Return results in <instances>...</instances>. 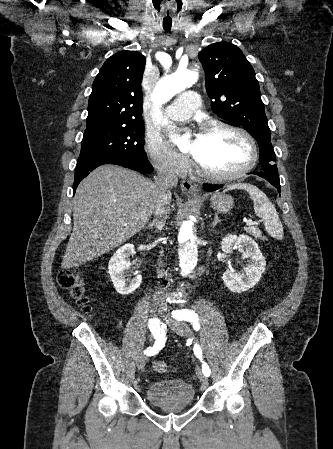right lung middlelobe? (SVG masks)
I'll return each mask as SVG.
<instances>
[{
	"instance_id": "obj_1",
	"label": "right lung middle lobe",
	"mask_w": 333,
	"mask_h": 449,
	"mask_svg": "<svg viewBox=\"0 0 333 449\" xmlns=\"http://www.w3.org/2000/svg\"><path fill=\"white\" fill-rule=\"evenodd\" d=\"M143 131V121L86 127L79 158L107 156L125 160H147Z\"/></svg>"
}]
</instances>
